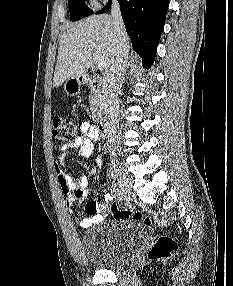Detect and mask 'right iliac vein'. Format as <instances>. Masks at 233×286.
<instances>
[{
    "label": "right iliac vein",
    "mask_w": 233,
    "mask_h": 286,
    "mask_svg": "<svg viewBox=\"0 0 233 286\" xmlns=\"http://www.w3.org/2000/svg\"><path fill=\"white\" fill-rule=\"evenodd\" d=\"M112 168L113 174L118 181L120 199L127 202L133 196V192L130 187V178L116 163L112 164Z\"/></svg>",
    "instance_id": "right-iliac-vein-1"
}]
</instances>
